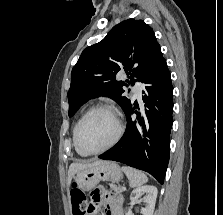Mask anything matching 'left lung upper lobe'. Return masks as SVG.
<instances>
[{"label": "left lung upper lobe", "mask_w": 223, "mask_h": 215, "mask_svg": "<svg viewBox=\"0 0 223 215\" xmlns=\"http://www.w3.org/2000/svg\"><path fill=\"white\" fill-rule=\"evenodd\" d=\"M163 59L153 30L143 20L128 19L117 24L102 41L87 47L73 67L68 91L69 116L99 96L112 98L126 112L131 101L122 97V86L128 84L116 81V74L124 69L131 79L126 82L133 85Z\"/></svg>", "instance_id": "obj_1"}]
</instances>
